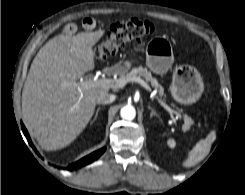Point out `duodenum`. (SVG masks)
Wrapping results in <instances>:
<instances>
[{
	"mask_svg": "<svg viewBox=\"0 0 245 195\" xmlns=\"http://www.w3.org/2000/svg\"><path fill=\"white\" fill-rule=\"evenodd\" d=\"M116 71H117V68L114 67V66H110V67H107V68L105 69V73L108 74V75H112V74H114Z\"/></svg>",
	"mask_w": 245,
	"mask_h": 195,
	"instance_id": "obj_1",
	"label": "duodenum"
}]
</instances>
